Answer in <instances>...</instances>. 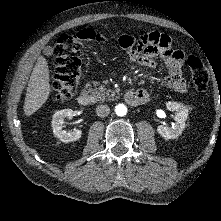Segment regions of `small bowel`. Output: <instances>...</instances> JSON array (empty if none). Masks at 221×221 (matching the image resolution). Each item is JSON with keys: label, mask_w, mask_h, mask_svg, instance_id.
I'll use <instances>...</instances> for the list:
<instances>
[{"label": "small bowel", "mask_w": 221, "mask_h": 221, "mask_svg": "<svg viewBox=\"0 0 221 221\" xmlns=\"http://www.w3.org/2000/svg\"><path fill=\"white\" fill-rule=\"evenodd\" d=\"M119 45L132 62L146 67H156L155 59L160 57L170 70L163 83L177 92L187 91V83L181 72L184 53L172 47L171 38L167 34L150 32L142 35L138 41L131 35H122L119 38ZM138 92L146 98V101L149 99L146 90L140 89Z\"/></svg>", "instance_id": "1"}]
</instances>
